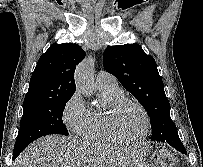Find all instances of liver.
Instances as JSON below:
<instances>
[{
	"label": "liver",
	"mask_w": 203,
	"mask_h": 167,
	"mask_svg": "<svg viewBox=\"0 0 203 167\" xmlns=\"http://www.w3.org/2000/svg\"><path fill=\"white\" fill-rule=\"evenodd\" d=\"M142 160L134 151L49 135L30 144L13 167H134Z\"/></svg>",
	"instance_id": "obj_1"
}]
</instances>
